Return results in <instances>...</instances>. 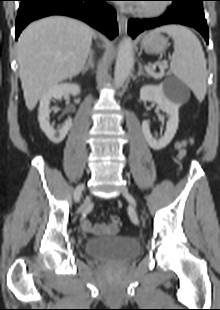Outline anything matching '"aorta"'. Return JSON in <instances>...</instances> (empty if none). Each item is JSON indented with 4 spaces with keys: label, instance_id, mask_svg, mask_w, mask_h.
<instances>
[{
    "label": "aorta",
    "instance_id": "762f6f07",
    "mask_svg": "<svg viewBox=\"0 0 220 310\" xmlns=\"http://www.w3.org/2000/svg\"><path fill=\"white\" fill-rule=\"evenodd\" d=\"M134 56L131 38H125L118 50L115 73L114 85L116 88L121 87L127 79L133 67Z\"/></svg>",
    "mask_w": 220,
    "mask_h": 310
}]
</instances>
